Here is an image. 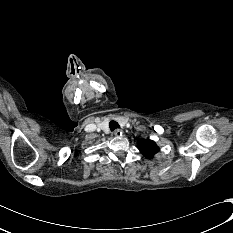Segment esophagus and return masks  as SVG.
<instances>
[{
	"instance_id": "34e87169",
	"label": "esophagus",
	"mask_w": 233,
	"mask_h": 233,
	"mask_svg": "<svg viewBox=\"0 0 233 233\" xmlns=\"http://www.w3.org/2000/svg\"><path fill=\"white\" fill-rule=\"evenodd\" d=\"M114 135H115L116 137H121V136L123 135V132H122L121 130H119V129H116V130L114 131Z\"/></svg>"
}]
</instances>
